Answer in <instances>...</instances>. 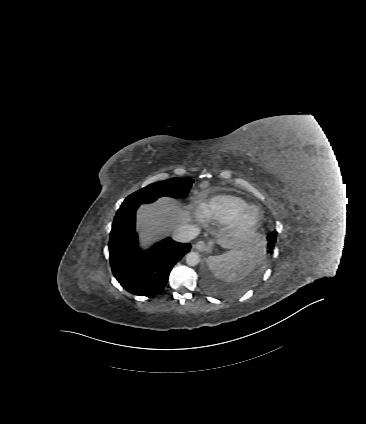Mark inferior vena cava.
Wrapping results in <instances>:
<instances>
[{"label":"inferior vena cava","mask_w":366,"mask_h":424,"mask_svg":"<svg viewBox=\"0 0 366 424\" xmlns=\"http://www.w3.org/2000/svg\"><path fill=\"white\" fill-rule=\"evenodd\" d=\"M198 233L199 230L196 227L186 224L177 228L173 233V237L177 242L186 243L194 239Z\"/></svg>","instance_id":"602c4592"}]
</instances>
